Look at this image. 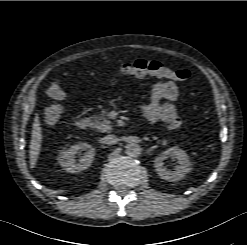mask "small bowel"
Here are the masks:
<instances>
[{"instance_id": "c3829d8e", "label": "small bowel", "mask_w": 247, "mask_h": 245, "mask_svg": "<svg viewBox=\"0 0 247 245\" xmlns=\"http://www.w3.org/2000/svg\"><path fill=\"white\" fill-rule=\"evenodd\" d=\"M179 93V88L174 82H158L152 88L151 102L141 106L139 111L151 123H169L178 117L173 103L178 99Z\"/></svg>"}]
</instances>
